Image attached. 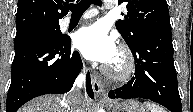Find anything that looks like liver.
<instances>
[{"label":"liver","instance_id":"1","mask_svg":"<svg viewBox=\"0 0 193 112\" xmlns=\"http://www.w3.org/2000/svg\"><path fill=\"white\" fill-rule=\"evenodd\" d=\"M68 101H63L58 95L37 97L19 109V112H70ZM93 103L85 98L86 112H92Z\"/></svg>","mask_w":193,"mask_h":112}]
</instances>
